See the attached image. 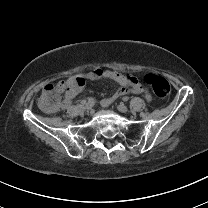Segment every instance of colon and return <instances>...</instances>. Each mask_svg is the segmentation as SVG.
I'll return each mask as SVG.
<instances>
[{"instance_id":"obj_1","label":"colon","mask_w":208,"mask_h":208,"mask_svg":"<svg viewBox=\"0 0 208 208\" xmlns=\"http://www.w3.org/2000/svg\"><path fill=\"white\" fill-rule=\"evenodd\" d=\"M143 81L153 90L158 98L167 97L170 92L169 82L153 73H147L142 76ZM73 90V83L70 80H63L56 86H50L39 98V105L45 111H59L63 107L62 98L70 96Z\"/></svg>"}]
</instances>
